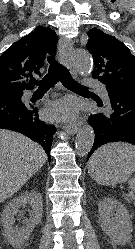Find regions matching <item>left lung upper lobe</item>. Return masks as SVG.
I'll return each mask as SVG.
<instances>
[{"mask_svg":"<svg viewBox=\"0 0 135 249\" xmlns=\"http://www.w3.org/2000/svg\"><path fill=\"white\" fill-rule=\"evenodd\" d=\"M86 45L95 69L92 75L106 85L108 93L135 97V57L115 37L93 28Z\"/></svg>","mask_w":135,"mask_h":249,"instance_id":"5c2ea615","label":"left lung upper lobe"}]
</instances>
